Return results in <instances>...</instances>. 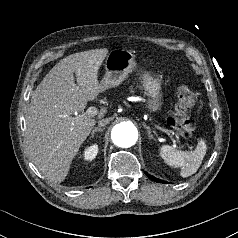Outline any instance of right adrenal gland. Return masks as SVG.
<instances>
[{
	"label": "right adrenal gland",
	"mask_w": 238,
	"mask_h": 238,
	"mask_svg": "<svg viewBox=\"0 0 238 238\" xmlns=\"http://www.w3.org/2000/svg\"><path fill=\"white\" fill-rule=\"evenodd\" d=\"M104 129L103 128H94L91 132V136H90V139L94 137V134L96 132H102Z\"/></svg>",
	"instance_id": "1"
}]
</instances>
